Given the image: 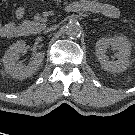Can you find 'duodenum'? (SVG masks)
<instances>
[{
	"label": "duodenum",
	"mask_w": 135,
	"mask_h": 135,
	"mask_svg": "<svg viewBox=\"0 0 135 135\" xmlns=\"http://www.w3.org/2000/svg\"><path fill=\"white\" fill-rule=\"evenodd\" d=\"M19 33H22V34H24V35H27L28 34V32L25 30V29H23V28H20V29H18V34ZM17 34V35H18Z\"/></svg>",
	"instance_id": "duodenum-1"
}]
</instances>
